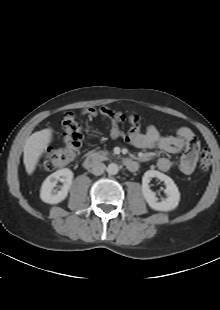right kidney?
Instances as JSON below:
<instances>
[{
    "label": "right kidney",
    "instance_id": "obj_1",
    "mask_svg": "<svg viewBox=\"0 0 220 310\" xmlns=\"http://www.w3.org/2000/svg\"><path fill=\"white\" fill-rule=\"evenodd\" d=\"M73 180V172L68 168L57 170L49 175L42 183L40 190V198L43 202L49 204H58L62 202L68 195ZM58 181L62 182L60 190H54Z\"/></svg>",
    "mask_w": 220,
    "mask_h": 310
}]
</instances>
